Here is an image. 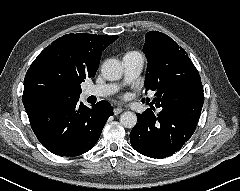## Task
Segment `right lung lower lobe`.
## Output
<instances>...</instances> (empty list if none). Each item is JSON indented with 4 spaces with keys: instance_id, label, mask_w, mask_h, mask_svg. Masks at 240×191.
<instances>
[{
    "instance_id": "obj_1",
    "label": "right lung lower lobe",
    "mask_w": 240,
    "mask_h": 191,
    "mask_svg": "<svg viewBox=\"0 0 240 191\" xmlns=\"http://www.w3.org/2000/svg\"><path fill=\"white\" fill-rule=\"evenodd\" d=\"M78 100L58 98L24 105L36 137L55 155L74 157L89 151L113 115V108L106 101L88 108Z\"/></svg>"
}]
</instances>
